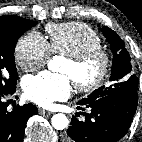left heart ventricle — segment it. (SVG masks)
<instances>
[{"mask_svg":"<svg viewBox=\"0 0 142 142\" xmlns=\"http://www.w3.org/2000/svg\"><path fill=\"white\" fill-rule=\"evenodd\" d=\"M99 69L100 65L97 61H93L82 68H76L68 60H66L60 71L70 76L72 80L89 81L98 74Z\"/></svg>","mask_w":142,"mask_h":142,"instance_id":"1","label":"left heart ventricle"}]
</instances>
